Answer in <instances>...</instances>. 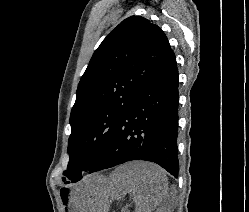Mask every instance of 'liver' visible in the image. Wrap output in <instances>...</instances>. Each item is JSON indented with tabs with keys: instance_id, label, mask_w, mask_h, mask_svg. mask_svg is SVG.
Instances as JSON below:
<instances>
[{
	"instance_id": "liver-1",
	"label": "liver",
	"mask_w": 249,
	"mask_h": 212,
	"mask_svg": "<svg viewBox=\"0 0 249 212\" xmlns=\"http://www.w3.org/2000/svg\"><path fill=\"white\" fill-rule=\"evenodd\" d=\"M98 180L104 198V212H108L109 204L123 200L126 194L134 200L135 212H153L167 192L165 170L141 160L118 166L108 178L98 176Z\"/></svg>"
}]
</instances>
